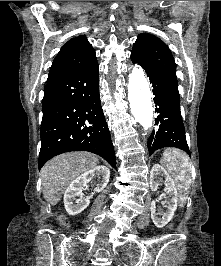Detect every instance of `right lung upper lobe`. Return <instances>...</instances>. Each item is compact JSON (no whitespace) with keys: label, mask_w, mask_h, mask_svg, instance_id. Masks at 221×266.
Masks as SVG:
<instances>
[{"label":"right lung upper lobe","mask_w":221,"mask_h":266,"mask_svg":"<svg viewBox=\"0 0 221 266\" xmlns=\"http://www.w3.org/2000/svg\"><path fill=\"white\" fill-rule=\"evenodd\" d=\"M95 61V50L86 36L75 37L65 43L55 57L46 83L77 72Z\"/></svg>","instance_id":"right-lung-upper-lobe-1"}]
</instances>
